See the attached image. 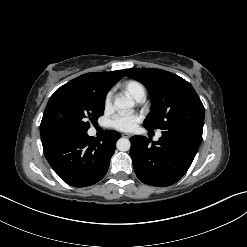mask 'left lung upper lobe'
I'll list each match as a JSON object with an SVG mask.
<instances>
[{"label": "left lung upper lobe", "mask_w": 247, "mask_h": 247, "mask_svg": "<svg viewBox=\"0 0 247 247\" xmlns=\"http://www.w3.org/2000/svg\"><path fill=\"white\" fill-rule=\"evenodd\" d=\"M123 71L143 83L150 93L151 110L143 122L145 128L168 134L182 133L202 141L204 106L189 82L161 69Z\"/></svg>", "instance_id": "5c2ea615"}]
</instances>
